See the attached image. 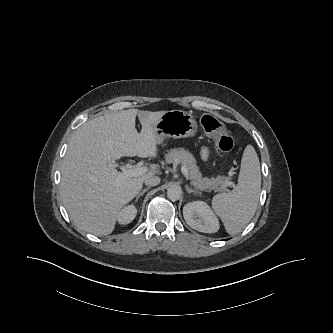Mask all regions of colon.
<instances>
[{"mask_svg":"<svg viewBox=\"0 0 333 333\" xmlns=\"http://www.w3.org/2000/svg\"><path fill=\"white\" fill-rule=\"evenodd\" d=\"M201 124L205 132L211 134L217 147L223 152H230L234 146L232 133L212 115H204Z\"/></svg>","mask_w":333,"mask_h":333,"instance_id":"5ec220e1","label":"colon"}]
</instances>
